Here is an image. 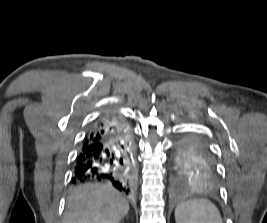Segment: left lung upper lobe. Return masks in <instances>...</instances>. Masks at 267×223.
Instances as JSON below:
<instances>
[{
  "mask_svg": "<svg viewBox=\"0 0 267 223\" xmlns=\"http://www.w3.org/2000/svg\"><path fill=\"white\" fill-rule=\"evenodd\" d=\"M179 149L177 171H216L210 151L202 140L185 138Z\"/></svg>",
  "mask_w": 267,
  "mask_h": 223,
  "instance_id": "1",
  "label": "left lung upper lobe"
}]
</instances>
